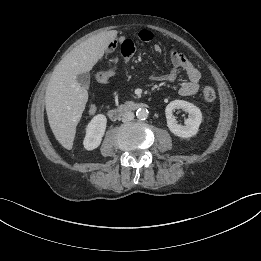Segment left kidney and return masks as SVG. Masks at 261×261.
<instances>
[{
	"instance_id": "obj_1",
	"label": "left kidney",
	"mask_w": 261,
	"mask_h": 261,
	"mask_svg": "<svg viewBox=\"0 0 261 261\" xmlns=\"http://www.w3.org/2000/svg\"><path fill=\"white\" fill-rule=\"evenodd\" d=\"M175 109H182L188 113V118L185 121V125L178 124L175 116L173 115V111ZM165 115L169 130L174 135L181 138H190L195 136L202 122L201 110L192 103L184 100H174L170 102L166 106Z\"/></svg>"
}]
</instances>
